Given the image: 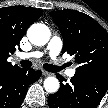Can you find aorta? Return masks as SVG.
<instances>
[{"mask_svg": "<svg viewBox=\"0 0 108 108\" xmlns=\"http://www.w3.org/2000/svg\"><path fill=\"white\" fill-rule=\"evenodd\" d=\"M29 41L36 46H43L48 43L51 33L45 24L35 23L31 25L27 31ZM60 87L56 77H47L44 80V89L48 93H55Z\"/></svg>", "mask_w": 108, "mask_h": 108, "instance_id": "aorta-1", "label": "aorta"}]
</instances>
